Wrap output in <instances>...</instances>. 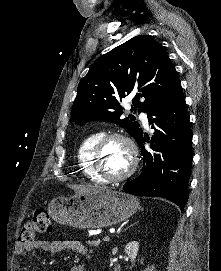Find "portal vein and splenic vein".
I'll list each match as a JSON object with an SVG mask.
<instances>
[{
  "label": "portal vein and splenic vein",
  "instance_id": "portal-vein-and-splenic-vein-1",
  "mask_svg": "<svg viewBox=\"0 0 221 271\" xmlns=\"http://www.w3.org/2000/svg\"><path fill=\"white\" fill-rule=\"evenodd\" d=\"M102 240H110V235H102Z\"/></svg>",
  "mask_w": 221,
  "mask_h": 271
}]
</instances>
